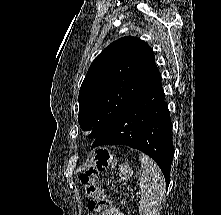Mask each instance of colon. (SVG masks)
<instances>
[{
	"mask_svg": "<svg viewBox=\"0 0 221 215\" xmlns=\"http://www.w3.org/2000/svg\"><path fill=\"white\" fill-rule=\"evenodd\" d=\"M114 158L107 149H96L93 152L91 164L80 175V181L84 185L89 197L88 209L90 212L102 213L110 206V201L103 193L99 184V173L112 166Z\"/></svg>",
	"mask_w": 221,
	"mask_h": 215,
	"instance_id": "1",
	"label": "colon"
}]
</instances>
